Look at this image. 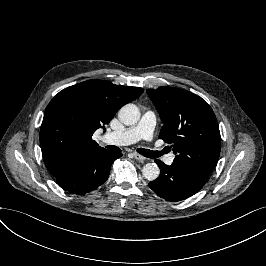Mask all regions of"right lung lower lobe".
I'll return each instance as SVG.
<instances>
[{"label":"right lung lower lobe","instance_id":"98d812e1","mask_svg":"<svg viewBox=\"0 0 266 266\" xmlns=\"http://www.w3.org/2000/svg\"><path fill=\"white\" fill-rule=\"evenodd\" d=\"M121 156L104 148L77 155L64 165L55 179L64 190L85 194L107 180L112 163Z\"/></svg>","mask_w":266,"mask_h":266}]
</instances>
